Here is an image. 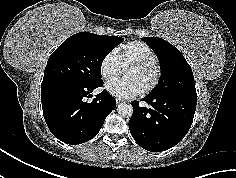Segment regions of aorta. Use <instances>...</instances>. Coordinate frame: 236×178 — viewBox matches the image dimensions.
<instances>
[{"instance_id":"obj_1","label":"aorta","mask_w":236,"mask_h":178,"mask_svg":"<svg viewBox=\"0 0 236 178\" xmlns=\"http://www.w3.org/2000/svg\"><path fill=\"white\" fill-rule=\"evenodd\" d=\"M118 114L123 118H129L133 114V107L128 103H121L117 107Z\"/></svg>"}]
</instances>
